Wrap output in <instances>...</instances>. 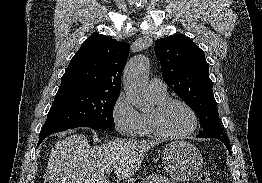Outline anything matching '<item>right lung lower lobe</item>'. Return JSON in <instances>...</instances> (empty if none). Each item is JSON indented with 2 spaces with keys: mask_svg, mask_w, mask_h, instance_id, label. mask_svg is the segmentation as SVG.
I'll return each mask as SVG.
<instances>
[{
  "mask_svg": "<svg viewBox=\"0 0 262 183\" xmlns=\"http://www.w3.org/2000/svg\"><path fill=\"white\" fill-rule=\"evenodd\" d=\"M76 128V127H75ZM71 129V128H70ZM67 129H59V130H48V131H41L40 135H39V142L38 145L49 135L56 133V132H60V131H64Z\"/></svg>",
  "mask_w": 262,
  "mask_h": 183,
  "instance_id": "1",
  "label": "right lung lower lobe"
}]
</instances>
